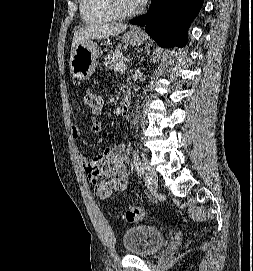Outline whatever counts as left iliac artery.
Returning a JSON list of instances; mask_svg holds the SVG:
<instances>
[{
  "label": "left iliac artery",
  "mask_w": 253,
  "mask_h": 271,
  "mask_svg": "<svg viewBox=\"0 0 253 271\" xmlns=\"http://www.w3.org/2000/svg\"><path fill=\"white\" fill-rule=\"evenodd\" d=\"M133 163L137 174L141 176L144 172V166L140 154L136 149L133 150Z\"/></svg>",
  "instance_id": "44dca946"
}]
</instances>
